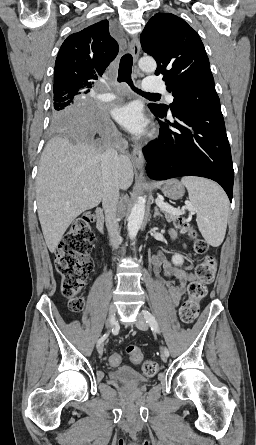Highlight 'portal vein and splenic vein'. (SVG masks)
Masks as SVG:
<instances>
[{
  "mask_svg": "<svg viewBox=\"0 0 256 445\" xmlns=\"http://www.w3.org/2000/svg\"><path fill=\"white\" fill-rule=\"evenodd\" d=\"M87 191H88L87 189L83 190V192H87ZM156 203L162 210L167 211V212H169L171 214H174V215H180V214L185 212V211L177 209V208H172L171 206H169L168 204H166L165 202H163L161 200H157ZM185 208H187L188 211H190V212H194L195 211V208L192 207L189 203H186Z\"/></svg>",
  "mask_w": 256,
  "mask_h": 445,
  "instance_id": "18ae733b",
  "label": "portal vein and splenic vein"
}]
</instances>
